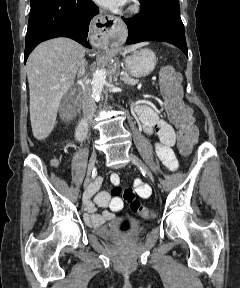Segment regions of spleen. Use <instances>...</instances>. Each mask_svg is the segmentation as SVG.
I'll return each mask as SVG.
<instances>
[{"label":"spleen","instance_id":"obj_1","mask_svg":"<svg viewBox=\"0 0 240 288\" xmlns=\"http://www.w3.org/2000/svg\"><path fill=\"white\" fill-rule=\"evenodd\" d=\"M148 44H149L148 42L137 43V44L131 46V47L128 49V52L134 51V50H136L137 48H140V47L145 46V45H148Z\"/></svg>","mask_w":240,"mask_h":288}]
</instances>
